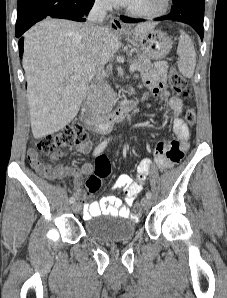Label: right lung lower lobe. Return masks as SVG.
<instances>
[{"label": "right lung lower lobe", "mask_w": 227, "mask_h": 298, "mask_svg": "<svg viewBox=\"0 0 227 298\" xmlns=\"http://www.w3.org/2000/svg\"><path fill=\"white\" fill-rule=\"evenodd\" d=\"M94 0H23L18 3L16 37H21L36 22L47 18H64L86 21ZM19 54H23V38L19 40Z\"/></svg>", "instance_id": "right-lung-lower-lobe-1"}]
</instances>
